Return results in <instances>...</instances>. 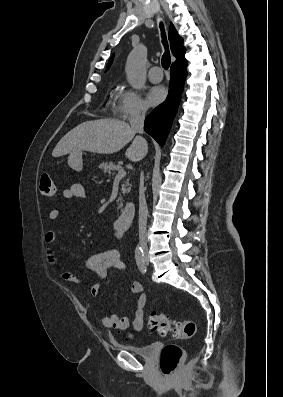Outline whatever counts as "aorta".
Returning a JSON list of instances; mask_svg holds the SVG:
<instances>
[{
	"instance_id": "obj_1",
	"label": "aorta",
	"mask_w": 283,
	"mask_h": 397,
	"mask_svg": "<svg viewBox=\"0 0 283 397\" xmlns=\"http://www.w3.org/2000/svg\"><path fill=\"white\" fill-rule=\"evenodd\" d=\"M146 56L147 48L140 45L133 49L127 58L125 66L127 80L137 90L142 89L146 82Z\"/></svg>"
}]
</instances>
